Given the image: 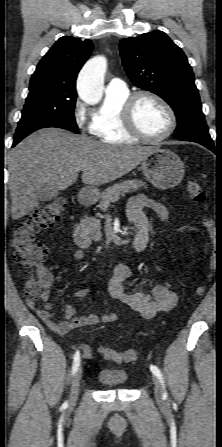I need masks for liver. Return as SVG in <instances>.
Here are the masks:
<instances>
[{
  "label": "liver",
  "mask_w": 222,
  "mask_h": 447,
  "mask_svg": "<svg viewBox=\"0 0 222 447\" xmlns=\"http://www.w3.org/2000/svg\"><path fill=\"white\" fill-rule=\"evenodd\" d=\"M154 147L110 145L59 128L31 134L8 158L12 219L17 220L39 206V190L48 185L64 190L83 171L86 185L112 182L136 168Z\"/></svg>",
  "instance_id": "6515ba94"
}]
</instances>
